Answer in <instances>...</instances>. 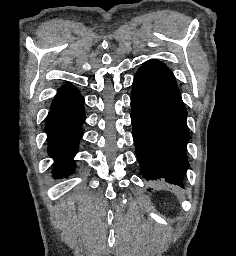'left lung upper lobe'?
<instances>
[{"label": "left lung upper lobe", "mask_w": 236, "mask_h": 256, "mask_svg": "<svg viewBox=\"0 0 236 256\" xmlns=\"http://www.w3.org/2000/svg\"><path fill=\"white\" fill-rule=\"evenodd\" d=\"M141 68L148 69V70L154 72L155 74L170 81L171 83L176 84V80H175L173 73L163 63H160L155 60H149V61L144 62L143 67H141Z\"/></svg>", "instance_id": "1"}]
</instances>
